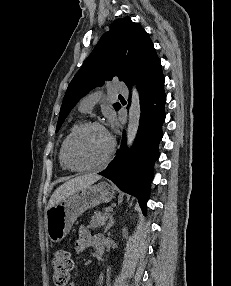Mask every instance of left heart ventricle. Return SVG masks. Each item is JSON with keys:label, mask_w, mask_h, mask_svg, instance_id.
<instances>
[{"label": "left heart ventricle", "mask_w": 231, "mask_h": 286, "mask_svg": "<svg viewBox=\"0 0 231 286\" xmlns=\"http://www.w3.org/2000/svg\"><path fill=\"white\" fill-rule=\"evenodd\" d=\"M110 148V138L102 129L91 127L83 130L72 141L69 157L76 166L96 163L103 159Z\"/></svg>", "instance_id": "1"}]
</instances>
